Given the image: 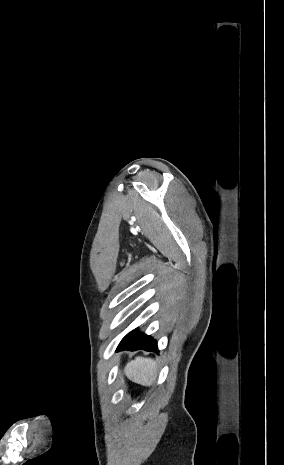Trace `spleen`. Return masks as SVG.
<instances>
[{"label":"spleen","mask_w":284,"mask_h":465,"mask_svg":"<svg viewBox=\"0 0 284 465\" xmlns=\"http://www.w3.org/2000/svg\"><path fill=\"white\" fill-rule=\"evenodd\" d=\"M124 373L130 381L150 387L157 377V361L153 359H144V357H135L134 361L127 363Z\"/></svg>","instance_id":"spleen-1"}]
</instances>
